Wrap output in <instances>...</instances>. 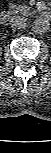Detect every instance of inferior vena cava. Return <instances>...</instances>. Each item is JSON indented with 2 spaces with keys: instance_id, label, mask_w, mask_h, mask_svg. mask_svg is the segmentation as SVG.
I'll use <instances>...</instances> for the list:
<instances>
[{
  "instance_id": "obj_1",
  "label": "inferior vena cava",
  "mask_w": 51,
  "mask_h": 153,
  "mask_svg": "<svg viewBox=\"0 0 51 153\" xmlns=\"http://www.w3.org/2000/svg\"><path fill=\"white\" fill-rule=\"evenodd\" d=\"M10 25L14 29H22L27 25V18L24 16H13L10 20Z\"/></svg>"
}]
</instances>
